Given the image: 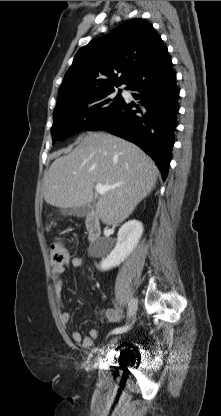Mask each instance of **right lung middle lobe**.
Wrapping results in <instances>:
<instances>
[{
    "mask_svg": "<svg viewBox=\"0 0 221 416\" xmlns=\"http://www.w3.org/2000/svg\"><path fill=\"white\" fill-rule=\"evenodd\" d=\"M114 91H103L56 105L51 128L53 142L81 130H95L97 125L111 119L124 102L120 95H114Z\"/></svg>",
    "mask_w": 221,
    "mask_h": 416,
    "instance_id": "obj_1",
    "label": "right lung middle lobe"
}]
</instances>
